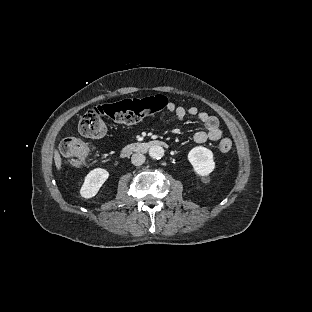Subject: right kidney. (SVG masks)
Here are the masks:
<instances>
[{"label": "right kidney", "mask_w": 312, "mask_h": 312, "mask_svg": "<svg viewBox=\"0 0 312 312\" xmlns=\"http://www.w3.org/2000/svg\"><path fill=\"white\" fill-rule=\"evenodd\" d=\"M109 176V171L104 168L91 170L84 178V182L79 191L80 196L84 199L95 197Z\"/></svg>", "instance_id": "1"}]
</instances>
